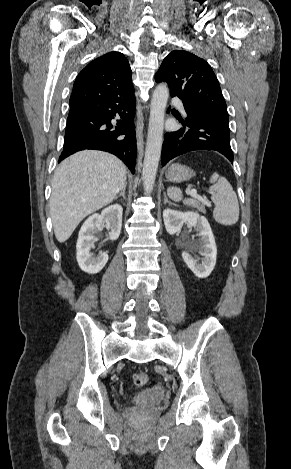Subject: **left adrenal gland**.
Listing matches in <instances>:
<instances>
[{"label":"left adrenal gland","mask_w":291,"mask_h":469,"mask_svg":"<svg viewBox=\"0 0 291 469\" xmlns=\"http://www.w3.org/2000/svg\"><path fill=\"white\" fill-rule=\"evenodd\" d=\"M166 203L171 204V205H175L174 203H172L168 200V198L166 196V193H164V204H166Z\"/></svg>","instance_id":"left-adrenal-gland-1"}]
</instances>
